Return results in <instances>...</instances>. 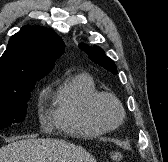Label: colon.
I'll use <instances>...</instances> for the list:
<instances>
[{"label":"colon","mask_w":168,"mask_h":162,"mask_svg":"<svg viewBox=\"0 0 168 162\" xmlns=\"http://www.w3.org/2000/svg\"><path fill=\"white\" fill-rule=\"evenodd\" d=\"M111 159L115 162H122L123 155L119 152H115V153L112 154Z\"/></svg>","instance_id":"5ec220e1"}]
</instances>
